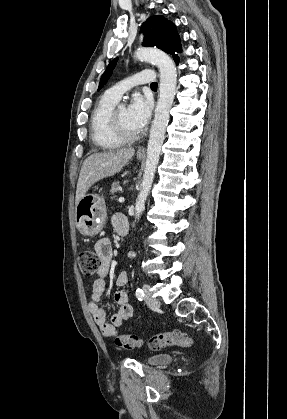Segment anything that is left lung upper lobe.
Here are the masks:
<instances>
[{
	"mask_svg": "<svg viewBox=\"0 0 287 419\" xmlns=\"http://www.w3.org/2000/svg\"><path fill=\"white\" fill-rule=\"evenodd\" d=\"M141 31L144 34L143 45L147 47H158L168 54L173 55V59L178 64L179 58L175 52H181L180 38L176 31L175 25L168 21L164 16L154 15L148 18L142 25ZM118 58L111 61L103 73L98 90H100L108 81L114 68L116 67Z\"/></svg>",
	"mask_w": 287,
	"mask_h": 419,
	"instance_id": "1",
	"label": "left lung upper lobe"
}]
</instances>
